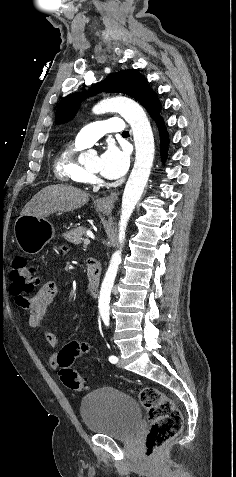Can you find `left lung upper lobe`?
I'll return each mask as SVG.
<instances>
[{
	"mask_svg": "<svg viewBox=\"0 0 236 477\" xmlns=\"http://www.w3.org/2000/svg\"><path fill=\"white\" fill-rule=\"evenodd\" d=\"M101 91L120 92L129 95L138 100L146 109L155 95L144 76L134 69L110 74L104 81L92 88L90 93L94 94ZM82 99L80 93L70 95L64 99L56 111V123L70 121L75 116Z\"/></svg>",
	"mask_w": 236,
	"mask_h": 477,
	"instance_id": "left-lung-upper-lobe-1",
	"label": "left lung upper lobe"
}]
</instances>
